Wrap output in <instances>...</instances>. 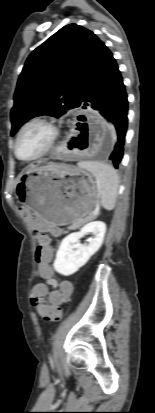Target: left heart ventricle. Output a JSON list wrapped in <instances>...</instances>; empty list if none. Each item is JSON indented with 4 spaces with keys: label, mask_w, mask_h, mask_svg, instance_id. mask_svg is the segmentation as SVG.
I'll return each mask as SVG.
<instances>
[{
    "label": "left heart ventricle",
    "mask_w": 155,
    "mask_h": 413,
    "mask_svg": "<svg viewBox=\"0 0 155 413\" xmlns=\"http://www.w3.org/2000/svg\"><path fill=\"white\" fill-rule=\"evenodd\" d=\"M51 135V129L43 123L29 126L20 137L19 155L26 159L36 156L47 146Z\"/></svg>",
    "instance_id": "1"
}]
</instances>
